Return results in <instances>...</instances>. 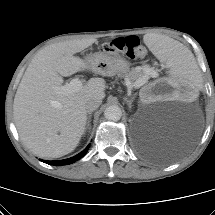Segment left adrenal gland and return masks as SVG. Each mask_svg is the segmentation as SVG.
Returning a JSON list of instances; mask_svg holds the SVG:
<instances>
[{"label": "left adrenal gland", "mask_w": 215, "mask_h": 215, "mask_svg": "<svg viewBox=\"0 0 215 215\" xmlns=\"http://www.w3.org/2000/svg\"><path fill=\"white\" fill-rule=\"evenodd\" d=\"M124 100H125V102L127 103L129 109H131V107H132V102L134 101V97L131 98V99H128V98L125 97Z\"/></svg>", "instance_id": "1"}]
</instances>
